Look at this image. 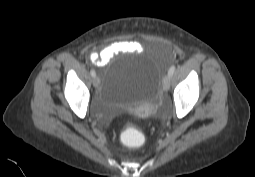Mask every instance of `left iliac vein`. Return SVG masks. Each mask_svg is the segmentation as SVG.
<instances>
[{"label":"left iliac vein","instance_id":"obj_1","mask_svg":"<svg viewBox=\"0 0 255 177\" xmlns=\"http://www.w3.org/2000/svg\"><path fill=\"white\" fill-rule=\"evenodd\" d=\"M170 80H171V77H170L169 74L164 77V80H163V89L165 91H168L169 88H170Z\"/></svg>","mask_w":255,"mask_h":177}]
</instances>
